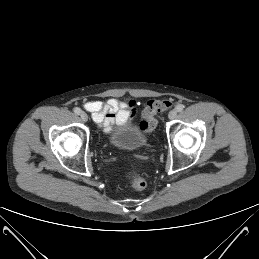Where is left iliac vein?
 <instances>
[{
    "mask_svg": "<svg viewBox=\"0 0 259 259\" xmlns=\"http://www.w3.org/2000/svg\"><path fill=\"white\" fill-rule=\"evenodd\" d=\"M176 116H177V111H176L175 109L171 110V111L169 112V114H168V118H169L170 120L175 119Z\"/></svg>",
    "mask_w": 259,
    "mask_h": 259,
    "instance_id": "obj_1",
    "label": "left iliac vein"
}]
</instances>
